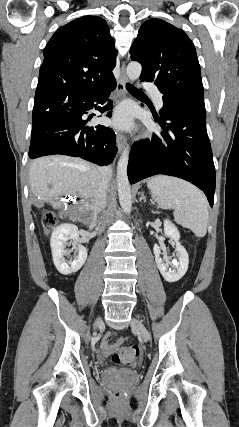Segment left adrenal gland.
Listing matches in <instances>:
<instances>
[{"label": "left adrenal gland", "instance_id": "1", "mask_svg": "<svg viewBox=\"0 0 239 427\" xmlns=\"http://www.w3.org/2000/svg\"><path fill=\"white\" fill-rule=\"evenodd\" d=\"M140 195L141 196L139 198V201L141 202L143 200L144 202H146V197L144 196V193L142 192Z\"/></svg>", "mask_w": 239, "mask_h": 427}]
</instances>
